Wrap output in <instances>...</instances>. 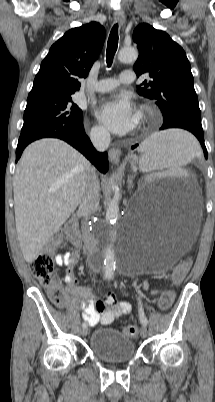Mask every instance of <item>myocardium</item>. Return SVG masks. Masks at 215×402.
<instances>
[{
  "label": "myocardium",
  "instance_id": "1",
  "mask_svg": "<svg viewBox=\"0 0 215 402\" xmlns=\"http://www.w3.org/2000/svg\"><path fill=\"white\" fill-rule=\"evenodd\" d=\"M155 114H156L155 109L150 105H142L137 113L141 123L149 122L151 119H153Z\"/></svg>",
  "mask_w": 215,
  "mask_h": 402
}]
</instances>
